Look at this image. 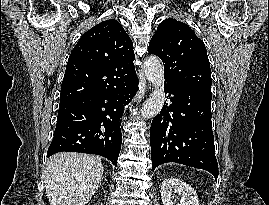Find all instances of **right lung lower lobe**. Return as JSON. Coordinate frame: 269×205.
Here are the masks:
<instances>
[{"mask_svg":"<svg viewBox=\"0 0 269 205\" xmlns=\"http://www.w3.org/2000/svg\"><path fill=\"white\" fill-rule=\"evenodd\" d=\"M137 84L134 70L114 89L60 102L47 157L62 151L82 152L106 157L117 166L121 117L138 90Z\"/></svg>","mask_w":269,"mask_h":205,"instance_id":"obj_1","label":"right lung lower lobe"}]
</instances>
